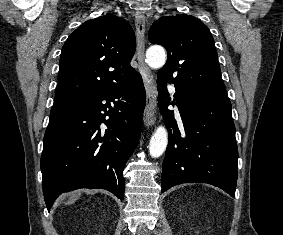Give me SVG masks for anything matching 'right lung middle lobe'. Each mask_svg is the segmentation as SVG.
<instances>
[{"label": "right lung middle lobe", "instance_id": "obj_1", "mask_svg": "<svg viewBox=\"0 0 283 235\" xmlns=\"http://www.w3.org/2000/svg\"><path fill=\"white\" fill-rule=\"evenodd\" d=\"M70 104H54L50 112V118L62 114Z\"/></svg>", "mask_w": 283, "mask_h": 235}]
</instances>
